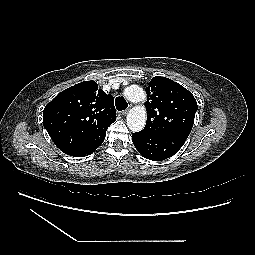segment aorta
Listing matches in <instances>:
<instances>
[{
	"label": "aorta",
	"mask_w": 255,
	"mask_h": 255,
	"mask_svg": "<svg viewBox=\"0 0 255 255\" xmlns=\"http://www.w3.org/2000/svg\"><path fill=\"white\" fill-rule=\"evenodd\" d=\"M124 96L130 102L139 103L145 101L146 93L138 85H130L124 90ZM146 124V109L144 106H136L127 114V126L132 132L141 131Z\"/></svg>",
	"instance_id": "obj_1"
}]
</instances>
